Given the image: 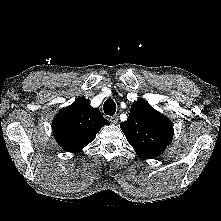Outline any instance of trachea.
<instances>
[{"label": "trachea", "instance_id": "obj_1", "mask_svg": "<svg viewBox=\"0 0 221 221\" xmlns=\"http://www.w3.org/2000/svg\"><path fill=\"white\" fill-rule=\"evenodd\" d=\"M104 113L113 116L116 112V104L112 99H107L103 105Z\"/></svg>", "mask_w": 221, "mask_h": 221}]
</instances>
